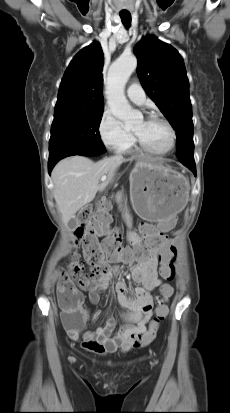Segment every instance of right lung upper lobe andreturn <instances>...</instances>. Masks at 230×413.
<instances>
[{"mask_svg":"<svg viewBox=\"0 0 230 413\" xmlns=\"http://www.w3.org/2000/svg\"><path fill=\"white\" fill-rule=\"evenodd\" d=\"M103 65L104 56L97 41L75 55L62 78L54 115L104 110Z\"/></svg>","mask_w":230,"mask_h":413,"instance_id":"obj_1","label":"right lung upper lobe"}]
</instances>
